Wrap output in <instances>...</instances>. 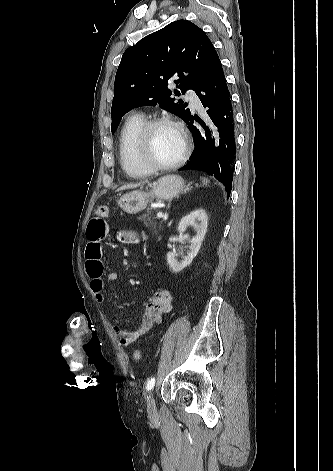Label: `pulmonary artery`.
<instances>
[{
	"label": "pulmonary artery",
	"mask_w": 333,
	"mask_h": 471,
	"mask_svg": "<svg viewBox=\"0 0 333 471\" xmlns=\"http://www.w3.org/2000/svg\"><path fill=\"white\" fill-rule=\"evenodd\" d=\"M187 98L195 108H200L201 103L198 97L193 92L187 93Z\"/></svg>",
	"instance_id": "1"
}]
</instances>
